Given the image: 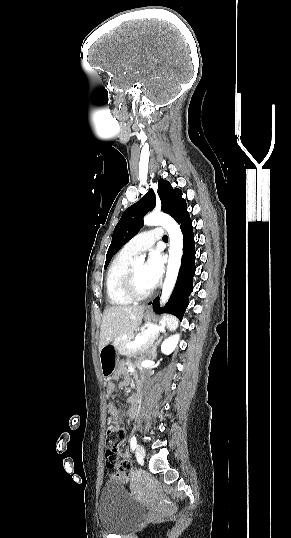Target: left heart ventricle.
Segmentation results:
<instances>
[{
    "instance_id": "obj_1",
    "label": "left heart ventricle",
    "mask_w": 291,
    "mask_h": 538,
    "mask_svg": "<svg viewBox=\"0 0 291 538\" xmlns=\"http://www.w3.org/2000/svg\"><path fill=\"white\" fill-rule=\"evenodd\" d=\"M144 268L145 265L143 264H137L133 266L136 285L141 292H146L152 288L145 277Z\"/></svg>"
}]
</instances>
